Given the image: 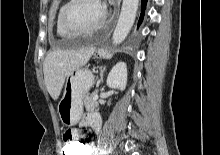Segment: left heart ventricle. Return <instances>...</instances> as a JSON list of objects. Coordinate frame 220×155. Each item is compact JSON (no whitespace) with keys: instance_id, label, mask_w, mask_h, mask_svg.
<instances>
[{"instance_id":"b2bd125f","label":"left heart ventricle","mask_w":220,"mask_h":155,"mask_svg":"<svg viewBox=\"0 0 220 155\" xmlns=\"http://www.w3.org/2000/svg\"><path fill=\"white\" fill-rule=\"evenodd\" d=\"M103 17L104 11L99 0H79L67 15L70 24L83 28L97 25Z\"/></svg>"}]
</instances>
